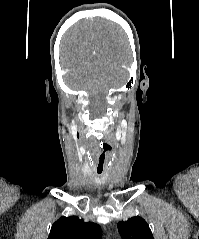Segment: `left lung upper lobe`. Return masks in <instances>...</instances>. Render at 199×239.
Wrapping results in <instances>:
<instances>
[{
  "mask_svg": "<svg viewBox=\"0 0 199 239\" xmlns=\"http://www.w3.org/2000/svg\"><path fill=\"white\" fill-rule=\"evenodd\" d=\"M117 226L122 239H154L148 224L141 217H132Z\"/></svg>",
  "mask_w": 199,
  "mask_h": 239,
  "instance_id": "5c2ea615",
  "label": "left lung upper lobe"
}]
</instances>
